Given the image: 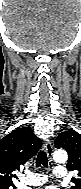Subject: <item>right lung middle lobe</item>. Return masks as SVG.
<instances>
[{"label": "right lung middle lobe", "instance_id": "obj_1", "mask_svg": "<svg viewBox=\"0 0 81 189\" xmlns=\"http://www.w3.org/2000/svg\"><path fill=\"white\" fill-rule=\"evenodd\" d=\"M0 189H16L13 184L0 186Z\"/></svg>", "mask_w": 81, "mask_h": 189}]
</instances>
